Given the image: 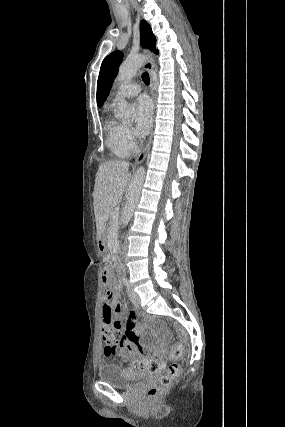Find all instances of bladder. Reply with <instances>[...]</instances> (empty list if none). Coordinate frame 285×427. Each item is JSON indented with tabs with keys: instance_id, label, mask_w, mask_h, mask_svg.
<instances>
[{
	"instance_id": "obj_1",
	"label": "bladder",
	"mask_w": 285,
	"mask_h": 427,
	"mask_svg": "<svg viewBox=\"0 0 285 427\" xmlns=\"http://www.w3.org/2000/svg\"><path fill=\"white\" fill-rule=\"evenodd\" d=\"M97 376L102 382L122 388H129L137 381L146 378H155L156 374L123 368L117 364H104L99 367Z\"/></svg>"
}]
</instances>
